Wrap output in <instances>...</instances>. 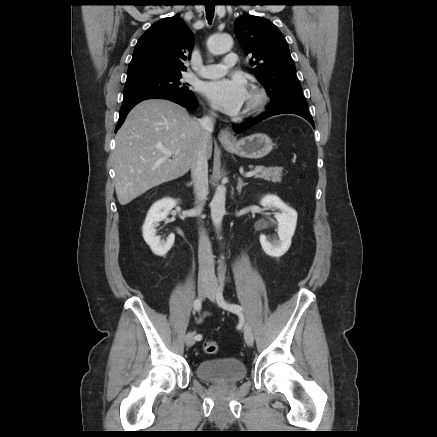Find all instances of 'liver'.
I'll use <instances>...</instances> for the list:
<instances>
[{
    "label": "liver",
    "instance_id": "obj_1",
    "mask_svg": "<svg viewBox=\"0 0 437 437\" xmlns=\"http://www.w3.org/2000/svg\"><path fill=\"white\" fill-rule=\"evenodd\" d=\"M201 132L199 120L176 103L149 99L137 104L115 137L112 159L119 203L126 205L151 188L185 175L197 158ZM212 146L210 138L207 158Z\"/></svg>",
    "mask_w": 437,
    "mask_h": 437
}]
</instances>
